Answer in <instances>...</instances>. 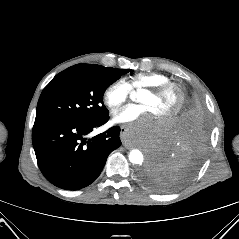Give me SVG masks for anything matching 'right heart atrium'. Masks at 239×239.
Masks as SVG:
<instances>
[{
    "label": "right heart atrium",
    "instance_id": "d8ad5b80",
    "mask_svg": "<svg viewBox=\"0 0 239 239\" xmlns=\"http://www.w3.org/2000/svg\"><path fill=\"white\" fill-rule=\"evenodd\" d=\"M130 93L129 84L122 79H118L106 87L103 93V101L111 111H116L127 101Z\"/></svg>",
    "mask_w": 239,
    "mask_h": 239
}]
</instances>
